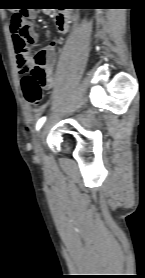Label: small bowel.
Masks as SVG:
<instances>
[{
  "instance_id": "obj_1",
  "label": "small bowel",
  "mask_w": 145,
  "mask_h": 278,
  "mask_svg": "<svg viewBox=\"0 0 145 278\" xmlns=\"http://www.w3.org/2000/svg\"><path fill=\"white\" fill-rule=\"evenodd\" d=\"M45 12H48V10H44ZM37 17V10L36 8L32 7L29 10V18L31 20H34ZM56 25L57 28L59 29L60 32L62 33H69L72 29L71 21L68 15L61 13L56 16ZM12 35V32H11ZM12 39L14 42V38L12 35ZM27 41L29 44L34 45L37 44L39 41V33L35 29H31L28 33V38ZM15 47V52H16V60L18 63V69L21 73H28L30 72L34 66H35V61L32 58H29L25 54H19L16 51V46ZM36 54H41L45 61V71H46V81L43 86L44 89H49L54 85V68H55V56H56V45L55 42L49 43L45 48L40 49L37 51ZM35 54V55H36Z\"/></svg>"
}]
</instances>
